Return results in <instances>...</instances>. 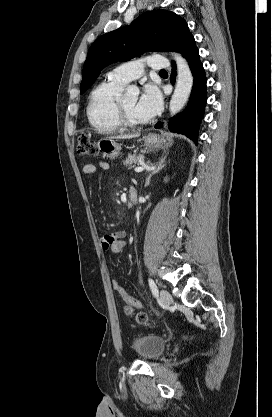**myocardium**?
Wrapping results in <instances>:
<instances>
[{"mask_svg": "<svg viewBox=\"0 0 272 417\" xmlns=\"http://www.w3.org/2000/svg\"><path fill=\"white\" fill-rule=\"evenodd\" d=\"M116 118L121 128L124 129H137L143 125H145L147 122H134L132 121L129 116L127 115L122 99H119L116 106Z\"/></svg>", "mask_w": 272, "mask_h": 417, "instance_id": "1", "label": "myocardium"}]
</instances>
